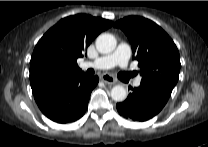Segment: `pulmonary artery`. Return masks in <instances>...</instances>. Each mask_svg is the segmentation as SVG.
<instances>
[{
	"label": "pulmonary artery",
	"mask_w": 208,
	"mask_h": 147,
	"mask_svg": "<svg viewBox=\"0 0 208 147\" xmlns=\"http://www.w3.org/2000/svg\"><path fill=\"white\" fill-rule=\"evenodd\" d=\"M131 56V48L126 43H120L116 50L108 55L98 57L92 61H86L82 63V68H97V69H110L114 66H120L126 68ZM141 79L134 80L133 85L140 86Z\"/></svg>",
	"instance_id": "1"
}]
</instances>
